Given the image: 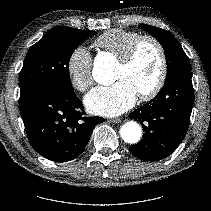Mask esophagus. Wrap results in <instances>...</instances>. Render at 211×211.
<instances>
[{
    "instance_id": "34e87169",
    "label": "esophagus",
    "mask_w": 211,
    "mask_h": 211,
    "mask_svg": "<svg viewBox=\"0 0 211 211\" xmlns=\"http://www.w3.org/2000/svg\"><path fill=\"white\" fill-rule=\"evenodd\" d=\"M109 121L117 124V123H120L122 120L120 118H113V119H110Z\"/></svg>"
}]
</instances>
